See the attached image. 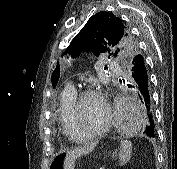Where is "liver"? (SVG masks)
I'll list each match as a JSON object with an SVG mask.
<instances>
[{
	"label": "liver",
	"mask_w": 177,
	"mask_h": 169,
	"mask_svg": "<svg viewBox=\"0 0 177 169\" xmlns=\"http://www.w3.org/2000/svg\"><path fill=\"white\" fill-rule=\"evenodd\" d=\"M94 144L90 145L89 147H84V148H78L75 149L73 151L67 152L66 156H65V160H64V167L66 169H74L73 165H74V161L84 155V154H88L89 152L92 151V149L94 148Z\"/></svg>",
	"instance_id": "1"
}]
</instances>
